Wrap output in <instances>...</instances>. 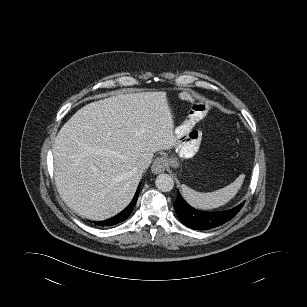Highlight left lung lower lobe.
I'll use <instances>...</instances> for the list:
<instances>
[{
  "mask_svg": "<svg viewBox=\"0 0 307 307\" xmlns=\"http://www.w3.org/2000/svg\"><path fill=\"white\" fill-rule=\"evenodd\" d=\"M243 205L244 202L232 209L220 212L199 211L188 205L179 192L174 202V208L179 220L187 227L195 230H208L226 223L241 210Z\"/></svg>",
  "mask_w": 307,
  "mask_h": 307,
  "instance_id": "obj_1",
  "label": "left lung lower lobe"
}]
</instances>
